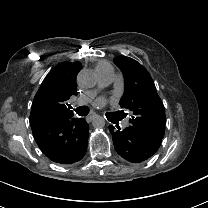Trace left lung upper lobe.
<instances>
[{
    "instance_id": "5c2ea615",
    "label": "left lung upper lobe",
    "mask_w": 208,
    "mask_h": 208,
    "mask_svg": "<svg viewBox=\"0 0 208 208\" xmlns=\"http://www.w3.org/2000/svg\"><path fill=\"white\" fill-rule=\"evenodd\" d=\"M114 63L125 77V92L120 105L131 111L130 124L162 139L165 110L149 72L139 62L126 56L114 58Z\"/></svg>"
}]
</instances>
